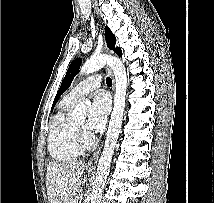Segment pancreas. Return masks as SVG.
<instances>
[{
    "label": "pancreas",
    "mask_w": 214,
    "mask_h": 203,
    "mask_svg": "<svg viewBox=\"0 0 214 203\" xmlns=\"http://www.w3.org/2000/svg\"><path fill=\"white\" fill-rule=\"evenodd\" d=\"M67 203H77V202H76V197L70 198V199L67 201Z\"/></svg>",
    "instance_id": "obj_1"
}]
</instances>
